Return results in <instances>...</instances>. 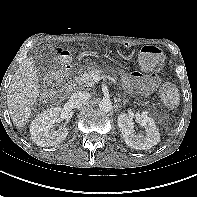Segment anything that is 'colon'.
<instances>
[{
    "mask_svg": "<svg viewBox=\"0 0 197 197\" xmlns=\"http://www.w3.org/2000/svg\"><path fill=\"white\" fill-rule=\"evenodd\" d=\"M70 60L71 56L68 51L59 50L57 52L58 69L56 72L45 77V86L49 87L55 80L62 79L68 74ZM163 60V54L157 46L146 45L140 51L139 63L144 70L161 69ZM160 95L168 107H175L178 104L179 93L172 83H164L160 89Z\"/></svg>",
    "mask_w": 197,
    "mask_h": 197,
    "instance_id": "colon-1",
    "label": "colon"
}]
</instances>
